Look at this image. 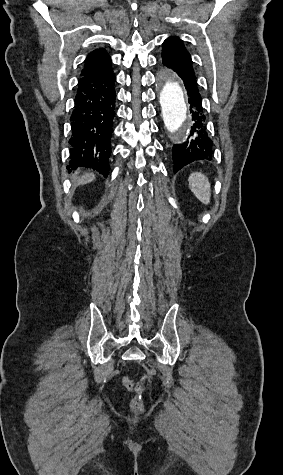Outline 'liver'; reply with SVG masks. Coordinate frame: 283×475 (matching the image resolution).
I'll return each instance as SVG.
<instances>
[{
    "label": "liver",
    "instance_id": "1",
    "mask_svg": "<svg viewBox=\"0 0 283 475\" xmlns=\"http://www.w3.org/2000/svg\"><path fill=\"white\" fill-rule=\"evenodd\" d=\"M94 178V174H85V176H82V178H79V180H77L78 186H80V184H89V182H92Z\"/></svg>",
    "mask_w": 283,
    "mask_h": 475
}]
</instances>
